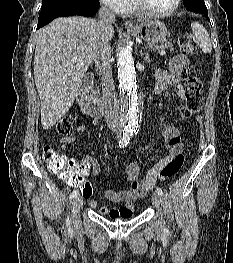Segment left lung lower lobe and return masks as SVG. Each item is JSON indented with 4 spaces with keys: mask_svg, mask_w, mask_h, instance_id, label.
<instances>
[{
    "mask_svg": "<svg viewBox=\"0 0 233 263\" xmlns=\"http://www.w3.org/2000/svg\"><path fill=\"white\" fill-rule=\"evenodd\" d=\"M201 14H203V15L209 20L207 11H205V12H203V13H201Z\"/></svg>",
    "mask_w": 233,
    "mask_h": 263,
    "instance_id": "obj_1",
    "label": "left lung lower lobe"
}]
</instances>
